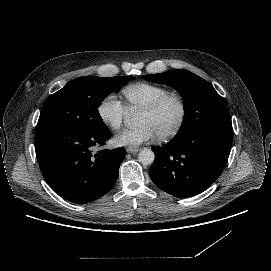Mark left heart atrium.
<instances>
[{
	"mask_svg": "<svg viewBox=\"0 0 271 271\" xmlns=\"http://www.w3.org/2000/svg\"><path fill=\"white\" fill-rule=\"evenodd\" d=\"M155 134L150 126L139 125L134 130H126L114 137V143L119 147L137 148L153 140Z\"/></svg>",
	"mask_w": 271,
	"mask_h": 271,
	"instance_id": "left-heart-atrium-1",
	"label": "left heart atrium"
}]
</instances>
